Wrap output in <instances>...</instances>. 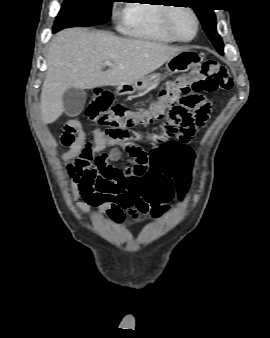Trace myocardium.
Returning <instances> with one entry per match:
<instances>
[{
    "label": "myocardium",
    "instance_id": "1",
    "mask_svg": "<svg viewBox=\"0 0 270 338\" xmlns=\"http://www.w3.org/2000/svg\"><path fill=\"white\" fill-rule=\"evenodd\" d=\"M179 11H185L187 13H189L194 20V33L190 38L187 39H183L180 38L174 28H173V17L174 15L179 12ZM163 26L165 31L169 34V36L174 40V41H178V42H190L192 40L195 39L197 33H198V28H199V19L197 14L188 7H185L181 4L178 5H174L172 6V8H169L168 10H166L165 14H164V21H163Z\"/></svg>",
    "mask_w": 270,
    "mask_h": 338
}]
</instances>
